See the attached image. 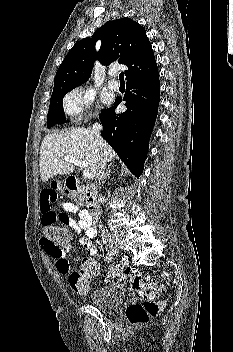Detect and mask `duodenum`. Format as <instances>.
Returning <instances> with one entry per match:
<instances>
[{
  "mask_svg": "<svg viewBox=\"0 0 233 352\" xmlns=\"http://www.w3.org/2000/svg\"><path fill=\"white\" fill-rule=\"evenodd\" d=\"M67 189L72 193H82L87 198V208L91 219L93 220L99 213L98 191L93 185H80L75 176L67 179Z\"/></svg>",
  "mask_w": 233,
  "mask_h": 352,
  "instance_id": "obj_1",
  "label": "duodenum"
}]
</instances>
